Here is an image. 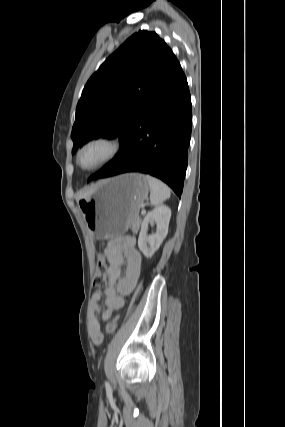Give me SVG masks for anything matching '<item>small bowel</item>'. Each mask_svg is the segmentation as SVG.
<instances>
[{
  "label": "small bowel",
  "instance_id": "1",
  "mask_svg": "<svg viewBox=\"0 0 285 427\" xmlns=\"http://www.w3.org/2000/svg\"><path fill=\"white\" fill-rule=\"evenodd\" d=\"M105 254L108 260V283L104 289L106 309L101 310L99 307L100 291H96L91 297L94 313L99 314L104 321L109 319L113 311L123 307L124 297L134 289L142 266V256L136 247V239L132 236H122L110 241ZM124 263L126 271L121 277ZM91 338L95 345L102 344L104 340L97 318L92 321Z\"/></svg>",
  "mask_w": 285,
  "mask_h": 427
}]
</instances>
